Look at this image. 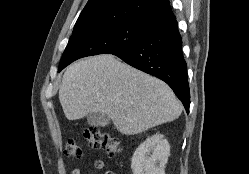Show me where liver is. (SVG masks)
I'll return each mask as SVG.
<instances>
[{"label": "liver", "instance_id": "obj_1", "mask_svg": "<svg viewBox=\"0 0 249 174\" xmlns=\"http://www.w3.org/2000/svg\"><path fill=\"white\" fill-rule=\"evenodd\" d=\"M59 100L68 120L103 113L125 135L171 122L183 110L166 83L110 54L72 64L63 75Z\"/></svg>", "mask_w": 249, "mask_h": 174}]
</instances>
